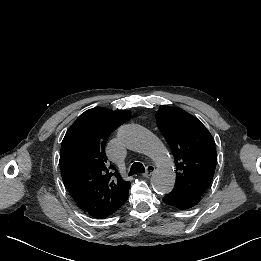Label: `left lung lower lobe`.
Returning <instances> with one entry per match:
<instances>
[{"label": "left lung lower lobe", "mask_w": 261, "mask_h": 261, "mask_svg": "<svg viewBox=\"0 0 261 261\" xmlns=\"http://www.w3.org/2000/svg\"><path fill=\"white\" fill-rule=\"evenodd\" d=\"M200 198L195 197L181 189L174 188L171 193L163 198V201L179 210H186L195 206Z\"/></svg>", "instance_id": "1"}]
</instances>
